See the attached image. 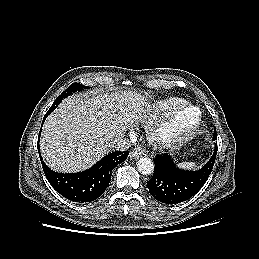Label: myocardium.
<instances>
[{
  "label": "myocardium",
  "instance_id": "f54148a6",
  "mask_svg": "<svg viewBox=\"0 0 259 259\" xmlns=\"http://www.w3.org/2000/svg\"><path fill=\"white\" fill-rule=\"evenodd\" d=\"M187 112H194L195 117L186 124H180L179 118ZM201 120V110L194 105L185 104L152 123L147 130V138L157 148H170L190 137Z\"/></svg>",
  "mask_w": 259,
  "mask_h": 259
}]
</instances>
